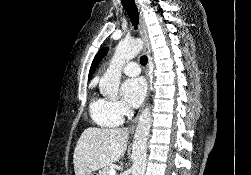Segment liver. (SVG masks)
I'll return each instance as SVG.
<instances>
[{"label": "liver", "instance_id": "liver-1", "mask_svg": "<svg viewBox=\"0 0 251 175\" xmlns=\"http://www.w3.org/2000/svg\"><path fill=\"white\" fill-rule=\"evenodd\" d=\"M129 127H87L82 131L74 149L75 175H91L123 157L128 139Z\"/></svg>", "mask_w": 251, "mask_h": 175}]
</instances>
